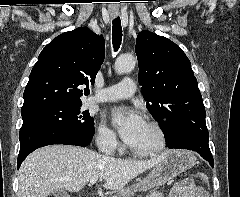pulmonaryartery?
Instances as JSON below:
<instances>
[{
    "label": "pulmonary artery",
    "instance_id": "pulmonary-artery-1",
    "mask_svg": "<svg viewBox=\"0 0 240 197\" xmlns=\"http://www.w3.org/2000/svg\"><path fill=\"white\" fill-rule=\"evenodd\" d=\"M136 91V84L131 78H124L120 83L105 88L95 93L92 97L94 102H111L133 96Z\"/></svg>",
    "mask_w": 240,
    "mask_h": 197
}]
</instances>
